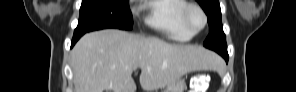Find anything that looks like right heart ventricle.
Segmentation results:
<instances>
[{
  "instance_id": "obj_1",
  "label": "right heart ventricle",
  "mask_w": 296,
  "mask_h": 92,
  "mask_svg": "<svg viewBox=\"0 0 296 92\" xmlns=\"http://www.w3.org/2000/svg\"><path fill=\"white\" fill-rule=\"evenodd\" d=\"M187 2L184 0H153L147 3L149 15L145 22L154 30L177 41H188L193 34L187 30L182 15Z\"/></svg>"
}]
</instances>
